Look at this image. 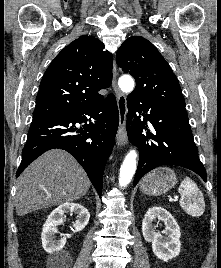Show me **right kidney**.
Listing matches in <instances>:
<instances>
[{"mask_svg":"<svg viewBox=\"0 0 221 268\" xmlns=\"http://www.w3.org/2000/svg\"><path fill=\"white\" fill-rule=\"evenodd\" d=\"M66 213H75L77 220L73 227L76 232H80L89 222L90 213L78 203H63L48 216L43 225L41 234L42 246L48 253H55L63 249L66 244V238L55 240L54 235L57 233V226L63 222Z\"/></svg>","mask_w":221,"mask_h":268,"instance_id":"1","label":"right kidney"}]
</instances>
